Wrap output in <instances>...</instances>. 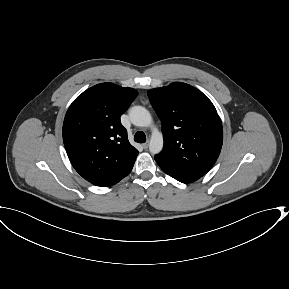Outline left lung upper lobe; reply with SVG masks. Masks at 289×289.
Listing matches in <instances>:
<instances>
[{"mask_svg":"<svg viewBox=\"0 0 289 289\" xmlns=\"http://www.w3.org/2000/svg\"><path fill=\"white\" fill-rule=\"evenodd\" d=\"M162 121L164 149L155 160L167 174L200 178L216 162L223 130L212 102L191 85L174 82L149 90Z\"/></svg>","mask_w":289,"mask_h":289,"instance_id":"obj_1","label":"left lung upper lobe"}]
</instances>
